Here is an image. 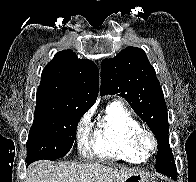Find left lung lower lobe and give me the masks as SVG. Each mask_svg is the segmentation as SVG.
I'll return each mask as SVG.
<instances>
[{"instance_id":"1","label":"left lung lower lobe","mask_w":196,"mask_h":182,"mask_svg":"<svg viewBox=\"0 0 196 182\" xmlns=\"http://www.w3.org/2000/svg\"><path fill=\"white\" fill-rule=\"evenodd\" d=\"M159 154L160 155L158 157V160L160 162L169 163L173 159V156L172 155H169V153H162V152H160ZM174 179L176 180V178H174Z\"/></svg>"}]
</instances>
